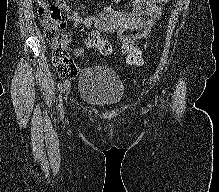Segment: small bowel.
Segmentation results:
<instances>
[{"label":"small bowel","instance_id":"1","mask_svg":"<svg viewBox=\"0 0 219 192\" xmlns=\"http://www.w3.org/2000/svg\"><path fill=\"white\" fill-rule=\"evenodd\" d=\"M167 2L168 0H131L128 9L117 10L111 6H104L96 15L87 16H81L77 10L72 11L64 0H57V5L64 11L72 26L85 37L82 45L73 50V55L78 56L84 50H95L97 39L114 32L120 36L122 42L126 37H130L133 43L144 40L145 50L154 22L161 16V6ZM125 31H130L133 35L123 36ZM137 49L142 53L141 49Z\"/></svg>","mask_w":219,"mask_h":192}]
</instances>
